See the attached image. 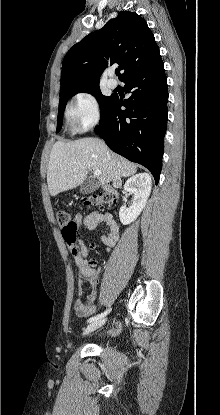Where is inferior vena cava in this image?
Returning a JSON list of instances; mask_svg holds the SVG:
<instances>
[{"label": "inferior vena cava", "instance_id": "obj_1", "mask_svg": "<svg viewBox=\"0 0 220 415\" xmlns=\"http://www.w3.org/2000/svg\"><path fill=\"white\" fill-rule=\"evenodd\" d=\"M120 182H121V179H120V178H116V179L113 181V184H114V186L116 187V186H119V185H120Z\"/></svg>", "mask_w": 220, "mask_h": 415}]
</instances>
